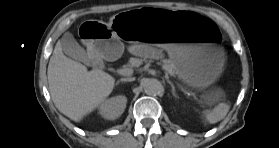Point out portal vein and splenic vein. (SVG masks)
I'll list each match as a JSON object with an SVG mask.
<instances>
[{
  "mask_svg": "<svg viewBox=\"0 0 279 148\" xmlns=\"http://www.w3.org/2000/svg\"><path fill=\"white\" fill-rule=\"evenodd\" d=\"M117 73L121 74V75H131L133 73V70L132 69H128V68L118 69ZM165 75L167 76V73H165Z\"/></svg>",
  "mask_w": 279,
  "mask_h": 148,
  "instance_id": "portal-vein-and-splenic-vein-1",
  "label": "portal vein and splenic vein"
}]
</instances>
